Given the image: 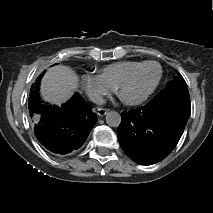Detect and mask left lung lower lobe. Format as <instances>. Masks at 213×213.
<instances>
[{"mask_svg":"<svg viewBox=\"0 0 213 213\" xmlns=\"http://www.w3.org/2000/svg\"><path fill=\"white\" fill-rule=\"evenodd\" d=\"M190 112L188 90L165 88L147 105L122 113L119 143L135 162L156 163L177 145Z\"/></svg>","mask_w":213,"mask_h":213,"instance_id":"1","label":"left lung lower lobe"}]
</instances>
